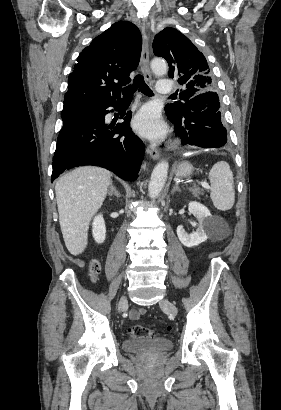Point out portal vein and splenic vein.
Returning a JSON list of instances; mask_svg holds the SVG:
<instances>
[{"instance_id": "1", "label": "portal vein and splenic vein", "mask_w": 281, "mask_h": 410, "mask_svg": "<svg viewBox=\"0 0 281 410\" xmlns=\"http://www.w3.org/2000/svg\"><path fill=\"white\" fill-rule=\"evenodd\" d=\"M200 184H201L202 187H204V188H206V189H209V188H210L209 185H208V183H206V182H200Z\"/></svg>"}]
</instances>
